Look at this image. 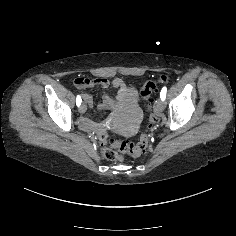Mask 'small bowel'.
<instances>
[{
  "label": "small bowel",
  "instance_id": "1",
  "mask_svg": "<svg viewBox=\"0 0 236 236\" xmlns=\"http://www.w3.org/2000/svg\"><path fill=\"white\" fill-rule=\"evenodd\" d=\"M101 85H105V84H101ZM113 85L119 86V85H121V81L116 79V80L113 81ZM88 100L90 102H88ZM85 101H87V103L91 104V98L89 96H85Z\"/></svg>",
  "mask_w": 236,
  "mask_h": 236
}]
</instances>
